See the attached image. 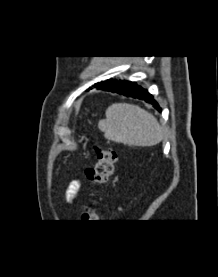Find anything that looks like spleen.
Segmentation results:
<instances>
[{
	"label": "spleen",
	"mask_w": 218,
	"mask_h": 277,
	"mask_svg": "<svg viewBox=\"0 0 218 277\" xmlns=\"http://www.w3.org/2000/svg\"><path fill=\"white\" fill-rule=\"evenodd\" d=\"M99 129L106 139L130 146H153L163 139V130L157 119L137 105L115 103L106 110V119Z\"/></svg>",
	"instance_id": "1"
}]
</instances>
